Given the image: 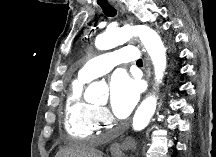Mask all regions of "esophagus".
Instances as JSON below:
<instances>
[{"instance_id":"esophagus-1","label":"esophagus","mask_w":216,"mask_h":157,"mask_svg":"<svg viewBox=\"0 0 216 157\" xmlns=\"http://www.w3.org/2000/svg\"><path fill=\"white\" fill-rule=\"evenodd\" d=\"M109 2L111 3V5H113L122 14L125 12L124 6L118 0H110ZM149 66H150L149 61L146 58V61H145V68H146L145 69V74H146V80L147 81L149 80V77H150V67ZM110 150L111 151H119L120 150V144L119 143L112 144L111 147H110Z\"/></svg>"}]
</instances>
